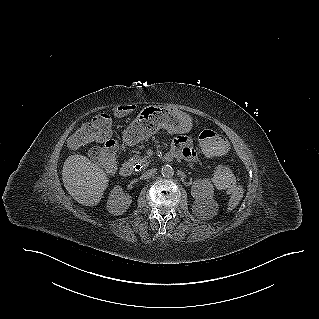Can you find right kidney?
<instances>
[{
  "label": "right kidney",
  "instance_id": "1",
  "mask_svg": "<svg viewBox=\"0 0 319 319\" xmlns=\"http://www.w3.org/2000/svg\"><path fill=\"white\" fill-rule=\"evenodd\" d=\"M131 202V196L124 193L120 186H116L110 193L107 209L113 215H122L129 208Z\"/></svg>",
  "mask_w": 319,
  "mask_h": 319
}]
</instances>
